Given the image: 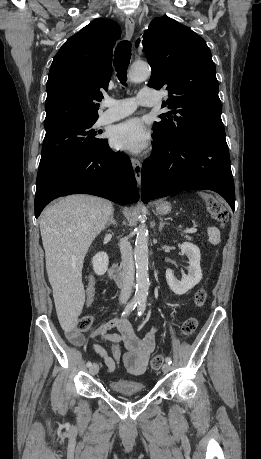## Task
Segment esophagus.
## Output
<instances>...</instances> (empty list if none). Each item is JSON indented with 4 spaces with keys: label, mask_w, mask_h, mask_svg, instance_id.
Here are the masks:
<instances>
[{
    "label": "esophagus",
    "mask_w": 261,
    "mask_h": 459,
    "mask_svg": "<svg viewBox=\"0 0 261 459\" xmlns=\"http://www.w3.org/2000/svg\"><path fill=\"white\" fill-rule=\"evenodd\" d=\"M135 28V22L132 18H126L125 19V35L128 40H130L133 36ZM133 170H134V175L136 178V181L138 185L141 184V171H142V165L141 162L138 159L132 158L131 160Z\"/></svg>",
    "instance_id": "esophagus-1"
}]
</instances>
